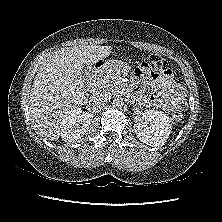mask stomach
Segmentation results:
<instances>
[{
  "label": "stomach",
  "mask_w": 222,
  "mask_h": 222,
  "mask_svg": "<svg viewBox=\"0 0 222 222\" xmlns=\"http://www.w3.org/2000/svg\"><path fill=\"white\" fill-rule=\"evenodd\" d=\"M119 69L121 72H126L129 69V66L127 64L119 63V65L116 64H108L105 68L106 71L112 70V69Z\"/></svg>",
  "instance_id": "0dacf381"
}]
</instances>
